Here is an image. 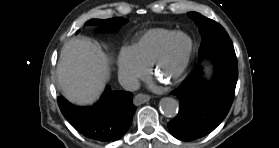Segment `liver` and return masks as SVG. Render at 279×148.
<instances>
[{"mask_svg": "<svg viewBox=\"0 0 279 148\" xmlns=\"http://www.w3.org/2000/svg\"><path fill=\"white\" fill-rule=\"evenodd\" d=\"M109 59L99 45L87 39H71L61 50L57 66L59 86L76 104L93 103L108 78Z\"/></svg>", "mask_w": 279, "mask_h": 148, "instance_id": "obj_1", "label": "liver"}]
</instances>
